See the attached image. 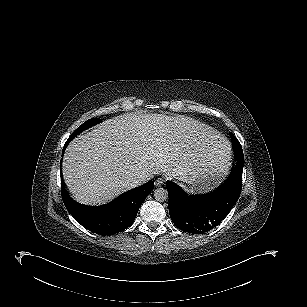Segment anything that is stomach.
<instances>
[{"label":"stomach","instance_id":"obj_1","mask_svg":"<svg viewBox=\"0 0 307 307\" xmlns=\"http://www.w3.org/2000/svg\"><path fill=\"white\" fill-rule=\"evenodd\" d=\"M227 169L218 164L217 166L202 168L195 175H189L185 181L191 192H203L215 187L226 174Z\"/></svg>","mask_w":307,"mask_h":307}]
</instances>
